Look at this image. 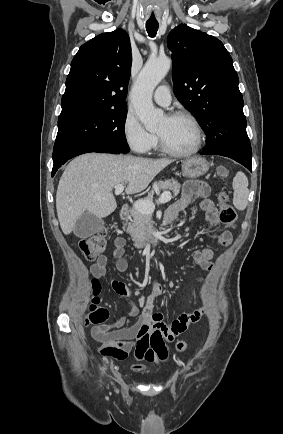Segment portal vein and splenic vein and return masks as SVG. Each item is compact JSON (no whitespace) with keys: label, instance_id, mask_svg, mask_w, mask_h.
Here are the masks:
<instances>
[{"label":"portal vein and splenic vein","instance_id":"18ae733b","mask_svg":"<svg viewBox=\"0 0 283 434\" xmlns=\"http://www.w3.org/2000/svg\"><path fill=\"white\" fill-rule=\"evenodd\" d=\"M123 184H118L115 186V194L119 195L123 192ZM172 196L169 191L164 192L160 198L157 200V204H164L171 200ZM134 207L142 213H153L155 210V204L152 201L138 200L134 203Z\"/></svg>","mask_w":283,"mask_h":434}]
</instances>
